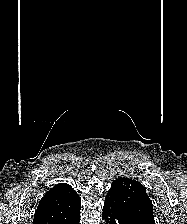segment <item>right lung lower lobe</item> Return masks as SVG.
<instances>
[{
	"mask_svg": "<svg viewBox=\"0 0 187 224\" xmlns=\"http://www.w3.org/2000/svg\"><path fill=\"white\" fill-rule=\"evenodd\" d=\"M80 211L75 214L66 224H79Z\"/></svg>",
	"mask_w": 187,
	"mask_h": 224,
	"instance_id": "obj_1",
	"label": "right lung lower lobe"
}]
</instances>
